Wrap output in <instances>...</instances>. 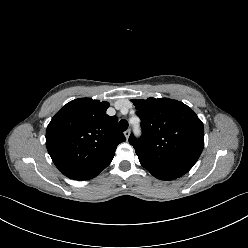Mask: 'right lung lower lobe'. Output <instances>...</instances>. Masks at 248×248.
<instances>
[{
    "label": "right lung lower lobe",
    "mask_w": 248,
    "mask_h": 248,
    "mask_svg": "<svg viewBox=\"0 0 248 248\" xmlns=\"http://www.w3.org/2000/svg\"><path fill=\"white\" fill-rule=\"evenodd\" d=\"M106 168V167H104ZM104 168H100L94 171L90 172H82V173H66L64 174L68 178L74 179V180H88L96 177Z\"/></svg>",
    "instance_id": "obj_1"
}]
</instances>
